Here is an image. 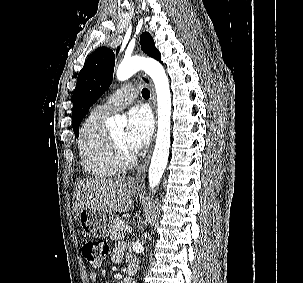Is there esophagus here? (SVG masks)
Listing matches in <instances>:
<instances>
[{"instance_id": "34e87169", "label": "esophagus", "mask_w": 303, "mask_h": 283, "mask_svg": "<svg viewBox=\"0 0 303 283\" xmlns=\"http://www.w3.org/2000/svg\"><path fill=\"white\" fill-rule=\"evenodd\" d=\"M140 79L146 85H148V87L150 89V93H151L150 104H151V107H152V110H153V113H154V116H155V120H156V95H155L153 84H152L151 80L149 79V77L145 74H141ZM151 154H152V146H151V149H150L149 153L147 154L146 158L143 160V162L141 163V165L137 169V172H136V175H135V178H134L135 183L137 185L144 184V178H145L146 171H147V168H148V165H149Z\"/></svg>"}]
</instances>
